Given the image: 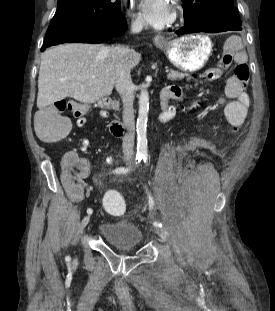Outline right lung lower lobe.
I'll list each match as a JSON object with an SVG mask.
<instances>
[{"mask_svg": "<svg viewBox=\"0 0 275 311\" xmlns=\"http://www.w3.org/2000/svg\"><path fill=\"white\" fill-rule=\"evenodd\" d=\"M126 27V20L119 13L104 20L62 27L46 36L41 51L61 43H104L122 34Z\"/></svg>", "mask_w": 275, "mask_h": 311, "instance_id": "98d812e1", "label": "right lung lower lobe"}]
</instances>
